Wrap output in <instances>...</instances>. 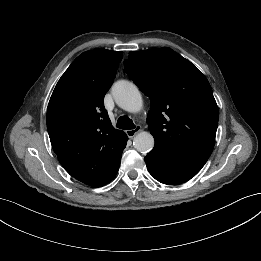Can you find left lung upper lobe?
I'll return each instance as SVG.
<instances>
[{
	"mask_svg": "<svg viewBox=\"0 0 261 261\" xmlns=\"http://www.w3.org/2000/svg\"><path fill=\"white\" fill-rule=\"evenodd\" d=\"M125 72L150 98L147 123L155 149L208 159L215 143L218 107L206 77L170 48L131 51Z\"/></svg>",
	"mask_w": 261,
	"mask_h": 261,
	"instance_id": "left-lung-upper-lobe-1",
	"label": "left lung upper lobe"
}]
</instances>
